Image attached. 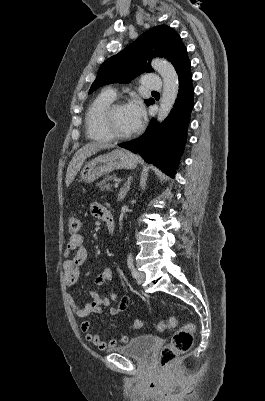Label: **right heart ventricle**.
<instances>
[{
    "instance_id": "right-heart-ventricle-1",
    "label": "right heart ventricle",
    "mask_w": 265,
    "mask_h": 401,
    "mask_svg": "<svg viewBox=\"0 0 265 401\" xmlns=\"http://www.w3.org/2000/svg\"><path fill=\"white\" fill-rule=\"evenodd\" d=\"M115 95L110 90L99 93L88 105L85 114L86 134L96 141H108V137L100 126V118L103 111L114 102Z\"/></svg>"
}]
</instances>
